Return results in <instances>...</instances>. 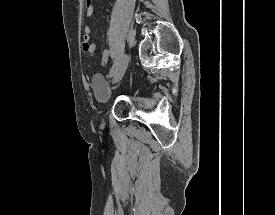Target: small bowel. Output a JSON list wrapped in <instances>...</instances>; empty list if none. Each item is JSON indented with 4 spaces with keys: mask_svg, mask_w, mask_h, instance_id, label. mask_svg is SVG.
<instances>
[{
    "mask_svg": "<svg viewBox=\"0 0 275 215\" xmlns=\"http://www.w3.org/2000/svg\"><path fill=\"white\" fill-rule=\"evenodd\" d=\"M94 9H95V3H92L90 2V0H88L85 4V13L87 18L92 16ZM83 48H84V51L89 55H95L97 52V45L91 42V28L89 25H85V28H84ZM109 55H110V50L107 48L104 49L102 52L101 65H104L107 62Z\"/></svg>",
    "mask_w": 275,
    "mask_h": 215,
    "instance_id": "1",
    "label": "small bowel"
}]
</instances>
